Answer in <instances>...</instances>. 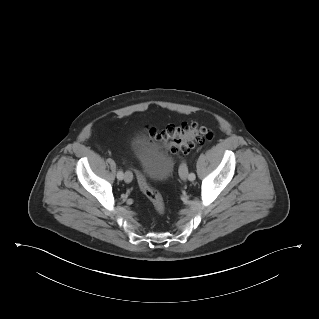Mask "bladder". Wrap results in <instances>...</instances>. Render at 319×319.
<instances>
[{
  "label": "bladder",
  "mask_w": 319,
  "mask_h": 319,
  "mask_svg": "<svg viewBox=\"0 0 319 319\" xmlns=\"http://www.w3.org/2000/svg\"><path fill=\"white\" fill-rule=\"evenodd\" d=\"M133 150L144 176L152 182L167 179L173 170L172 159L163 147L148 142H135Z\"/></svg>",
  "instance_id": "31cf9c89"
}]
</instances>
